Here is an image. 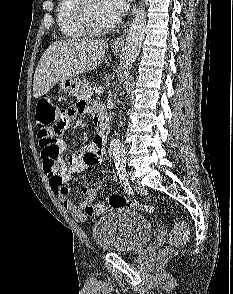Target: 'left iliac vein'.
<instances>
[{
  "label": "left iliac vein",
  "instance_id": "4c4485c4",
  "mask_svg": "<svg viewBox=\"0 0 233 294\" xmlns=\"http://www.w3.org/2000/svg\"><path fill=\"white\" fill-rule=\"evenodd\" d=\"M130 177H131V173L128 174V179H130ZM135 190L140 192L143 190V188L141 186H135Z\"/></svg>",
  "mask_w": 233,
  "mask_h": 294
}]
</instances>
